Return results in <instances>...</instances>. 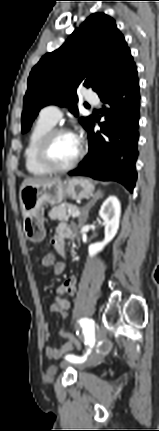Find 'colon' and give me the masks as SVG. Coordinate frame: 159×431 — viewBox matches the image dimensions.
I'll return each instance as SVG.
<instances>
[{
    "mask_svg": "<svg viewBox=\"0 0 159 431\" xmlns=\"http://www.w3.org/2000/svg\"><path fill=\"white\" fill-rule=\"evenodd\" d=\"M54 258L55 255L52 253V251H47V253H45V260H46V268L49 269V271H54ZM61 319L62 322H65V320L68 319V314H67V310H62V314H61ZM58 336L62 337V338H66L67 340H69L72 345L74 347H76V352H80L81 348L83 346V343L77 338L76 333L73 332V330L71 329H63V326H60V330L58 331Z\"/></svg>",
    "mask_w": 159,
    "mask_h": 431,
    "instance_id": "obj_1",
    "label": "colon"
}]
</instances>
